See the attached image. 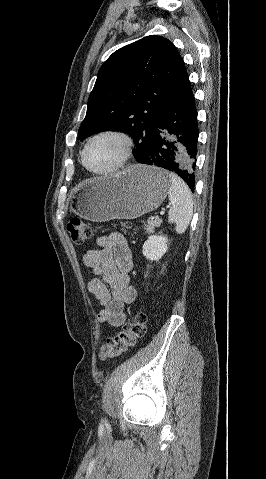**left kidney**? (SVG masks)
I'll list each match as a JSON object with an SVG mask.
<instances>
[{
    "instance_id": "left-kidney-1",
    "label": "left kidney",
    "mask_w": 266,
    "mask_h": 479,
    "mask_svg": "<svg viewBox=\"0 0 266 479\" xmlns=\"http://www.w3.org/2000/svg\"><path fill=\"white\" fill-rule=\"evenodd\" d=\"M168 250V238L151 235L143 244L142 253L150 261H159Z\"/></svg>"
}]
</instances>
